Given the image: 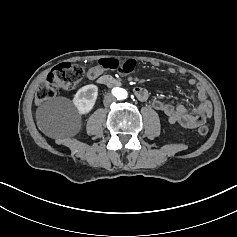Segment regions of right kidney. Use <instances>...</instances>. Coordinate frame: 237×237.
Returning a JSON list of instances; mask_svg holds the SVG:
<instances>
[{
  "mask_svg": "<svg viewBox=\"0 0 237 237\" xmlns=\"http://www.w3.org/2000/svg\"><path fill=\"white\" fill-rule=\"evenodd\" d=\"M98 96V87L90 84L80 88L74 96L73 103L77 107L79 114L89 113Z\"/></svg>",
  "mask_w": 237,
  "mask_h": 237,
  "instance_id": "obj_1",
  "label": "right kidney"
}]
</instances>
